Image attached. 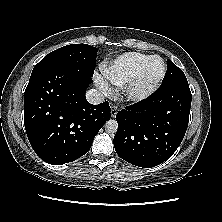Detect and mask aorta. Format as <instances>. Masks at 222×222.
<instances>
[{"label": "aorta", "instance_id": "1", "mask_svg": "<svg viewBox=\"0 0 222 222\" xmlns=\"http://www.w3.org/2000/svg\"><path fill=\"white\" fill-rule=\"evenodd\" d=\"M105 130L110 133L114 134L118 130V123L116 120L110 119L105 123Z\"/></svg>", "mask_w": 222, "mask_h": 222}]
</instances>
